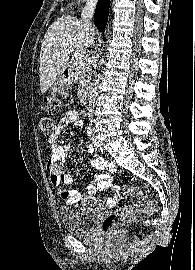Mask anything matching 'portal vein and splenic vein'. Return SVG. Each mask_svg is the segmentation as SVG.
<instances>
[{"label":"portal vein and splenic vein","instance_id":"1","mask_svg":"<svg viewBox=\"0 0 195 270\" xmlns=\"http://www.w3.org/2000/svg\"><path fill=\"white\" fill-rule=\"evenodd\" d=\"M74 57L76 59H78V60H84V59H86V52H85V50L75 51Z\"/></svg>","mask_w":195,"mask_h":270}]
</instances>
